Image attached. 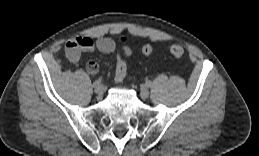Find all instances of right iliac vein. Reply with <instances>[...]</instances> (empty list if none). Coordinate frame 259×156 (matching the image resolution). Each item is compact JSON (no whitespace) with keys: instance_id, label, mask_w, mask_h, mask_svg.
Returning a JSON list of instances; mask_svg holds the SVG:
<instances>
[{"instance_id":"1","label":"right iliac vein","mask_w":259,"mask_h":156,"mask_svg":"<svg viewBox=\"0 0 259 156\" xmlns=\"http://www.w3.org/2000/svg\"><path fill=\"white\" fill-rule=\"evenodd\" d=\"M94 91H95V93H96L97 95L101 96V95L103 94V92H104V88H103V86L99 85V86H97V87L94 89Z\"/></svg>"}]
</instances>
